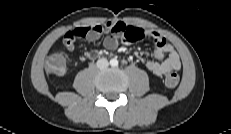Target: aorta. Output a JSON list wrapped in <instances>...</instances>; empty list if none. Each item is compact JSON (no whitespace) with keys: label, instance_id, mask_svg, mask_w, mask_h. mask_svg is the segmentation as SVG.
Listing matches in <instances>:
<instances>
[{"label":"aorta","instance_id":"aorta-1","mask_svg":"<svg viewBox=\"0 0 231 134\" xmlns=\"http://www.w3.org/2000/svg\"><path fill=\"white\" fill-rule=\"evenodd\" d=\"M110 64H111L112 66H117V65H118V61H117L116 59H112V60L110 61Z\"/></svg>","mask_w":231,"mask_h":134}]
</instances>
